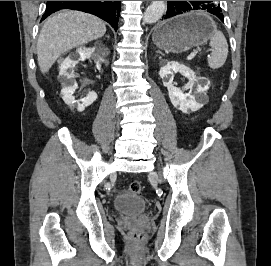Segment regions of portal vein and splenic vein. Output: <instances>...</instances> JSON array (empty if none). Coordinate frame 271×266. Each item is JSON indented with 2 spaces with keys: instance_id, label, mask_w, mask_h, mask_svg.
I'll return each mask as SVG.
<instances>
[{
  "instance_id": "obj_1",
  "label": "portal vein and splenic vein",
  "mask_w": 271,
  "mask_h": 266,
  "mask_svg": "<svg viewBox=\"0 0 271 266\" xmlns=\"http://www.w3.org/2000/svg\"><path fill=\"white\" fill-rule=\"evenodd\" d=\"M198 53V50H194L192 53H190V55L187 57L188 60H192L196 54Z\"/></svg>"
}]
</instances>
